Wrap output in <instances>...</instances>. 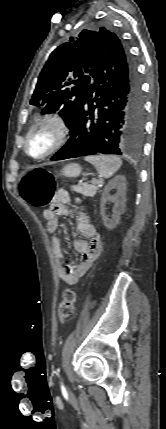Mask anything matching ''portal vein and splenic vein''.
<instances>
[{"label": "portal vein and splenic vein", "mask_w": 166, "mask_h": 429, "mask_svg": "<svg viewBox=\"0 0 166 429\" xmlns=\"http://www.w3.org/2000/svg\"><path fill=\"white\" fill-rule=\"evenodd\" d=\"M99 182L95 179H92V184H98Z\"/></svg>", "instance_id": "obj_1"}]
</instances>
